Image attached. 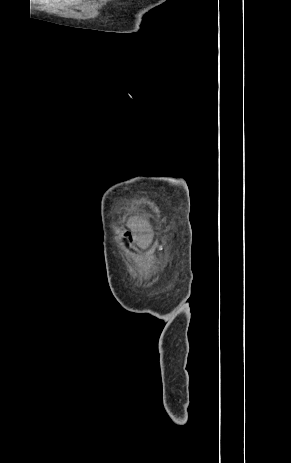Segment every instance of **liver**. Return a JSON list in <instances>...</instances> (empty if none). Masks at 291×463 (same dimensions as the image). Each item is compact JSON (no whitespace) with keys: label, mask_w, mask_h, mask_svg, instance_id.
Segmentation results:
<instances>
[{"label":"liver","mask_w":291,"mask_h":463,"mask_svg":"<svg viewBox=\"0 0 291 463\" xmlns=\"http://www.w3.org/2000/svg\"><path fill=\"white\" fill-rule=\"evenodd\" d=\"M128 223L131 229L137 233L140 246L147 248L153 240L152 228L148 219L145 216H134L129 218Z\"/></svg>","instance_id":"6515ba94"}]
</instances>
